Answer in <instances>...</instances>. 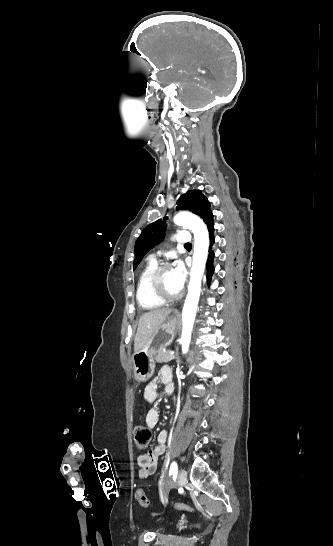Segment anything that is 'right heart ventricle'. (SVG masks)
<instances>
[{
    "mask_svg": "<svg viewBox=\"0 0 333 546\" xmlns=\"http://www.w3.org/2000/svg\"><path fill=\"white\" fill-rule=\"evenodd\" d=\"M158 268L156 260H149L145 265L144 269L140 273L137 290H136V299L139 306L145 310H152L161 307L164 302L155 298L150 289V280Z\"/></svg>",
    "mask_w": 333,
    "mask_h": 546,
    "instance_id": "obj_1",
    "label": "right heart ventricle"
}]
</instances>
